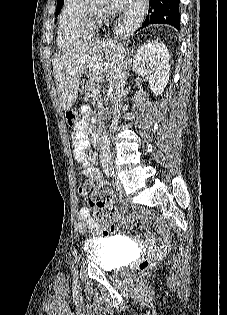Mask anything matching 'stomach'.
I'll return each instance as SVG.
<instances>
[{
  "mask_svg": "<svg viewBox=\"0 0 227 315\" xmlns=\"http://www.w3.org/2000/svg\"><path fill=\"white\" fill-rule=\"evenodd\" d=\"M96 74L95 68H85L82 73L84 80H79L78 85L81 91H88L89 90V82H94ZM74 116L77 115L76 112H71Z\"/></svg>",
  "mask_w": 227,
  "mask_h": 315,
  "instance_id": "obj_1",
  "label": "stomach"
}]
</instances>
